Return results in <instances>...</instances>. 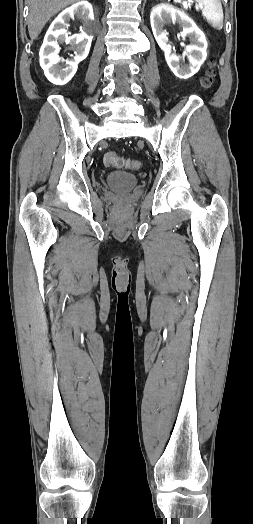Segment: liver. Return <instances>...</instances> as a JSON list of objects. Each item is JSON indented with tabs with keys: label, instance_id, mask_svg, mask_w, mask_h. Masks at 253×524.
I'll list each match as a JSON object with an SVG mask.
<instances>
[{
	"label": "liver",
	"instance_id": "liver-1",
	"mask_svg": "<svg viewBox=\"0 0 253 524\" xmlns=\"http://www.w3.org/2000/svg\"><path fill=\"white\" fill-rule=\"evenodd\" d=\"M79 0H28V31L32 40L41 33L47 21L65 7Z\"/></svg>",
	"mask_w": 253,
	"mask_h": 524
}]
</instances>
